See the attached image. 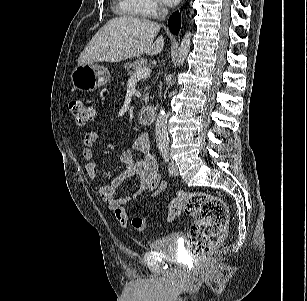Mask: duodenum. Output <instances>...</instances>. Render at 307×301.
I'll return each mask as SVG.
<instances>
[{
	"mask_svg": "<svg viewBox=\"0 0 307 301\" xmlns=\"http://www.w3.org/2000/svg\"><path fill=\"white\" fill-rule=\"evenodd\" d=\"M138 121L144 125H150L155 121L156 108L154 106H146L138 111Z\"/></svg>",
	"mask_w": 307,
	"mask_h": 301,
	"instance_id": "obj_1",
	"label": "duodenum"
}]
</instances>
